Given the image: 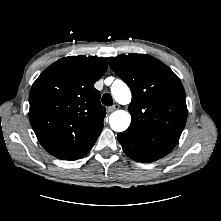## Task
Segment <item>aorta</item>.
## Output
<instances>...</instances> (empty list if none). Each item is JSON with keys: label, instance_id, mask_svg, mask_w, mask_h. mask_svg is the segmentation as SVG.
Wrapping results in <instances>:
<instances>
[{"label": "aorta", "instance_id": "762f6f07", "mask_svg": "<svg viewBox=\"0 0 221 221\" xmlns=\"http://www.w3.org/2000/svg\"><path fill=\"white\" fill-rule=\"evenodd\" d=\"M113 98L122 105H127L131 102V92L129 87L122 81L116 80L111 86ZM131 123V115L128 111L117 110L109 117V124L112 130L116 132L125 131Z\"/></svg>", "mask_w": 221, "mask_h": 221}]
</instances>
